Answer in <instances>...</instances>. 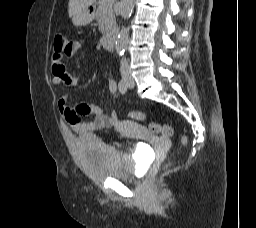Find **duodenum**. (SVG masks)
I'll return each instance as SVG.
<instances>
[{"label": "duodenum", "mask_w": 256, "mask_h": 228, "mask_svg": "<svg viewBox=\"0 0 256 228\" xmlns=\"http://www.w3.org/2000/svg\"><path fill=\"white\" fill-rule=\"evenodd\" d=\"M115 40H116V33L115 32L107 33L101 39L103 46L107 50H112L114 48Z\"/></svg>", "instance_id": "obj_1"}]
</instances>
